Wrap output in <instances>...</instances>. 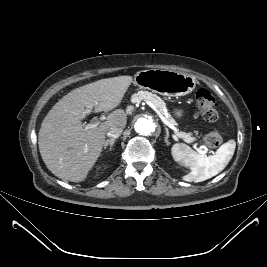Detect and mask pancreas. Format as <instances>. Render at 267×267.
Here are the masks:
<instances>
[{"label": "pancreas", "mask_w": 267, "mask_h": 267, "mask_svg": "<svg viewBox=\"0 0 267 267\" xmlns=\"http://www.w3.org/2000/svg\"><path fill=\"white\" fill-rule=\"evenodd\" d=\"M142 100H149L152 102L160 111H163L164 108H166L165 102L156 94H153L148 91H139L138 93H135L132 95L131 101L132 103H139ZM167 121L170 125L174 126L176 125L175 120L171 117L170 114L167 116ZM176 134L180 137L183 138V140L187 143H191L195 140L194 137L191 136V133H185V132H180L176 131Z\"/></svg>", "instance_id": "pancreas-1"}]
</instances>
